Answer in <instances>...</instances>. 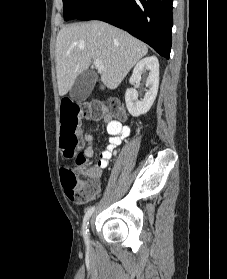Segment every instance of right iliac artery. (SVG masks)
Listing matches in <instances>:
<instances>
[{
    "instance_id": "right-iliac-artery-1",
    "label": "right iliac artery",
    "mask_w": 227,
    "mask_h": 279,
    "mask_svg": "<svg viewBox=\"0 0 227 279\" xmlns=\"http://www.w3.org/2000/svg\"><path fill=\"white\" fill-rule=\"evenodd\" d=\"M95 207L92 206L91 208H89L84 216L83 219V235H84V239H85V243L87 245V247H89V238H88V229H87V225H88V220L90 218V216L92 215V213L94 212Z\"/></svg>"
}]
</instances>
